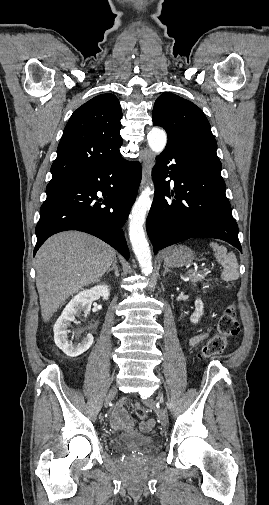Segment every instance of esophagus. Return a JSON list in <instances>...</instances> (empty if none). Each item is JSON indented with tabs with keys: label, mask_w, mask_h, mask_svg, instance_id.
<instances>
[{
	"label": "esophagus",
	"mask_w": 269,
	"mask_h": 505,
	"mask_svg": "<svg viewBox=\"0 0 269 505\" xmlns=\"http://www.w3.org/2000/svg\"><path fill=\"white\" fill-rule=\"evenodd\" d=\"M152 165H153L152 153L149 150H147L145 152V156L143 159V173H142V180H141V188H143L146 185V183L148 182Z\"/></svg>",
	"instance_id": "1"
}]
</instances>
